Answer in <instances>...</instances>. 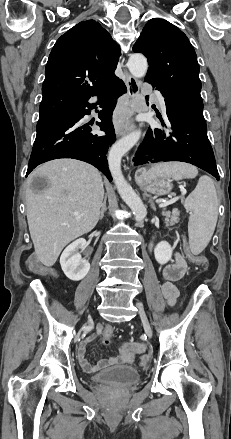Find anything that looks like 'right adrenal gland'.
I'll list each match as a JSON object with an SVG mask.
<instances>
[{"label": "right adrenal gland", "mask_w": 231, "mask_h": 439, "mask_svg": "<svg viewBox=\"0 0 231 439\" xmlns=\"http://www.w3.org/2000/svg\"><path fill=\"white\" fill-rule=\"evenodd\" d=\"M106 200H107V196H104V200L103 203L101 205V211H100V220H102L103 216H104V212L106 211Z\"/></svg>", "instance_id": "obj_1"}]
</instances>
